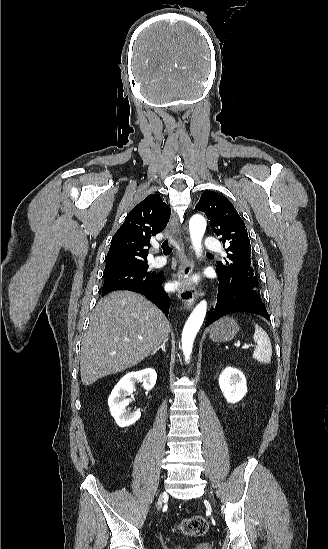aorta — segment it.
Instances as JSON below:
<instances>
[{"label": "aorta", "mask_w": 328, "mask_h": 549, "mask_svg": "<svg viewBox=\"0 0 328 549\" xmlns=\"http://www.w3.org/2000/svg\"><path fill=\"white\" fill-rule=\"evenodd\" d=\"M206 229V220L203 216L196 214L189 222V231L193 248L197 255L201 252V240ZM207 311V302L202 300L189 316L182 332V350L185 360H189L194 339L203 324Z\"/></svg>", "instance_id": "obj_1"}]
</instances>
